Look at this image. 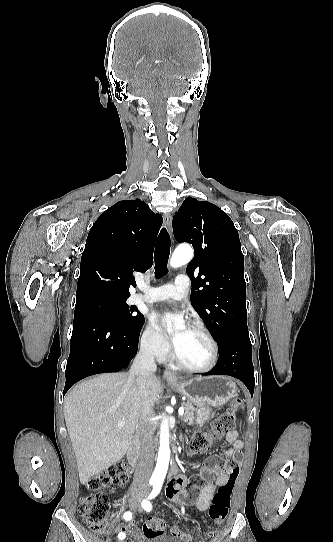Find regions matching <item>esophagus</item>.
<instances>
[{
    "label": "esophagus",
    "instance_id": "1",
    "mask_svg": "<svg viewBox=\"0 0 333 542\" xmlns=\"http://www.w3.org/2000/svg\"><path fill=\"white\" fill-rule=\"evenodd\" d=\"M171 222H172L171 215L169 213L164 214V223L169 231L171 230ZM163 377L167 382H177L179 379L178 375L175 372H173V370H170V369H166L164 371Z\"/></svg>",
    "mask_w": 333,
    "mask_h": 542
}]
</instances>
